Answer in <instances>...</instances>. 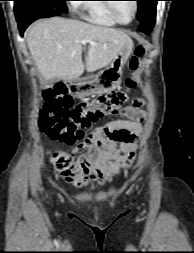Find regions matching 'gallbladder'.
Returning a JSON list of instances; mask_svg holds the SVG:
<instances>
[{"label": "gallbladder", "instance_id": "obj_1", "mask_svg": "<svg viewBox=\"0 0 194 253\" xmlns=\"http://www.w3.org/2000/svg\"><path fill=\"white\" fill-rule=\"evenodd\" d=\"M57 82H58V79H57V78H53V79L50 80V84H51V85H54V84H56Z\"/></svg>", "mask_w": 194, "mask_h": 253}]
</instances>
